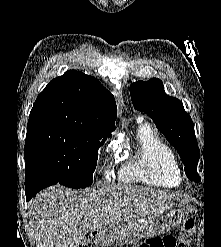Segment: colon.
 I'll return each instance as SVG.
<instances>
[{"mask_svg": "<svg viewBox=\"0 0 221 247\" xmlns=\"http://www.w3.org/2000/svg\"><path fill=\"white\" fill-rule=\"evenodd\" d=\"M195 229V219L190 217L184 220L177 238L169 236L154 237L146 240L141 247H191ZM79 247H92L89 240L82 242Z\"/></svg>", "mask_w": 221, "mask_h": 247, "instance_id": "colon-1", "label": "colon"}]
</instances>
